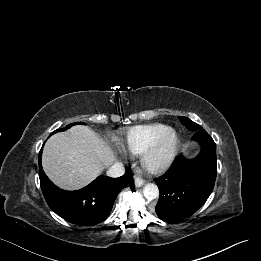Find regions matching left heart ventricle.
<instances>
[{
  "instance_id": "obj_1",
  "label": "left heart ventricle",
  "mask_w": 261,
  "mask_h": 261,
  "mask_svg": "<svg viewBox=\"0 0 261 261\" xmlns=\"http://www.w3.org/2000/svg\"><path fill=\"white\" fill-rule=\"evenodd\" d=\"M168 147V144L165 146V148L164 149H166Z\"/></svg>"
}]
</instances>
